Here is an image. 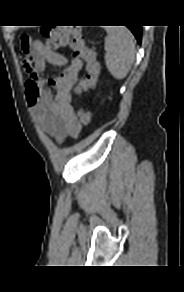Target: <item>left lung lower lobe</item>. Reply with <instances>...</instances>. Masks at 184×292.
I'll return each mask as SVG.
<instances>
[{
	"label": "left lung lower lobe",
	"mask_w": 184,
	"mask_h": 292,
	"mask_svg": "<svg viewBox=\"0 0 184 292\" xmlns=\"http://www.w3.org/2000/svg\"><path fill=\"white\" fill-rule=\"evenodd\" d=\"M132 31L134 36L137 39V42L140 44L142 39V28L141 26H127Z\"/></svg>",
	"instance_id": "left-lung-lower-lobe-1"
}]
</instances>
